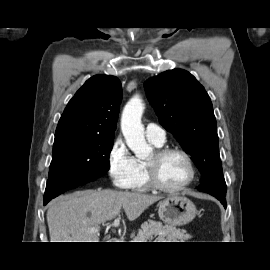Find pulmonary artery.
Masks as SVG:
<instances>
[{
  "label": "pulmonary artery",
  "mask_w": 270,
  "mask_h": 270,
  "mask_svg": "<svg viewBox=\"0 0 270 270\" xmlns=\"http://www.w3.org/2000/svg\"><path fill=\"white\" fill-rule=\"evenodd\" d=\"M145 134L150 141H154L158 144H163L166 140L165 130L162 127L153 123H149L146 126Z\"/></svg>",
  "instance_id": "1"
}]
</instances>
